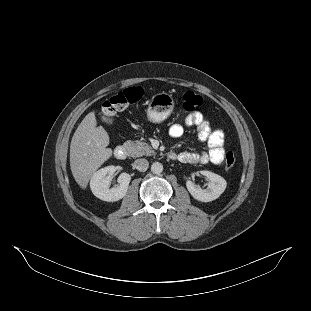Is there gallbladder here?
<instances>
[{
    "mask_svg": "<svg viewBox=\"0 0 311 311\" xmlns=\"http://www.w3.org/2000/svg\"><path fill=\"white\" fill-rule=\"evenodd\" d=\"M105 121H110V119H105Z\"/></svg>",
    "mask_w": 311,
    "mask_h": 311,
    "instance_id": "obj_1",
    "label": "gallbladder"
}]
</instances>
